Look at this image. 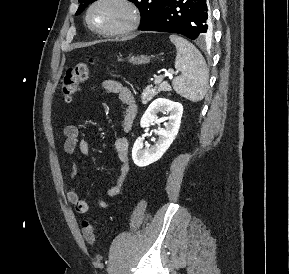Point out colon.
<instances>
[{"mask_svg": "<svg viewBox=\"0 0 289 274\" xmlns=\"http://www.w3.org/2000/svg\"><path fill=\"white\" fill-rule=\"evenodd\" d=\"M95 61L90 63H79L75 67L66 70L61 82V95L65 101H70L77 93L81 83L87 80L89 76L90 66L94 65ZM82 233L85 241L88 244H94L96 235L93 226L87 220L82 222Z\"/></svg>", "mask_w": 289, "mask_h": 274, "instance_id": "obj_1", "label": "colon"}]
</instances>
